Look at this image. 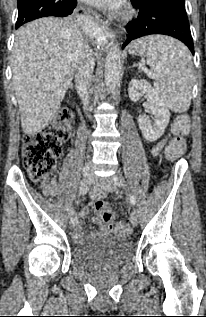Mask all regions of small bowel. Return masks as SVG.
Returning a JSON list of instances; mask_svg holds the SVG:
<instances>
[{
    "instance_id": "obj_1",
    "label": "small bowel",
    "mask_w": 206,
    "mask_h": 317,
    "mask_svg": "<svg viewBox=\"0 0 206 317\" xmlns=\"http://www.w3.org/2000/svg\"><path fill=\"white\" fill-rule=\"evenodd\" d=\"M165 144V140H161L159 141L151 150V153L153 155H157L160 150L163 148ZM50 188H51V192L54 194L57 191V186L54 180L50 181ZM104 195V192L102 190H100L99 188H95L92 192H91V198L96 199L99 197H102ZM80 215H87L88 214V210L87 209H83L79 212ZM95 223H98V220H94ZM110 231V227L108 226H103L101 228V233H108ZM87 235H92V234H87L85 231L82 230L81 226L78 224L75 231H74V237L76 240H81L83 238H85Z\"/></svg>"
}]
</instances>
